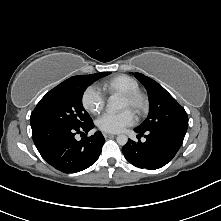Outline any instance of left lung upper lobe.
Here are the masks:
<instances>
[{
    "instance_id": "obj_1",
    "label": "left lung upper lobe",
    "mask_w": 221,
    "mask_h": 221,
    "mask_svg": "<svg viewBox=\"0 0 221 221\" xmlns=\"http://www.w3.org/2000/svg\"><path fill=\"white\" fill-rule=\"evenodd\" d=\"M134 76L145 86L150 100V111L146 120L136 129L141 132L163 128L187 130L188 116L182 106L156 81L141 74Z\"/></svg>"
}]
</instances>
